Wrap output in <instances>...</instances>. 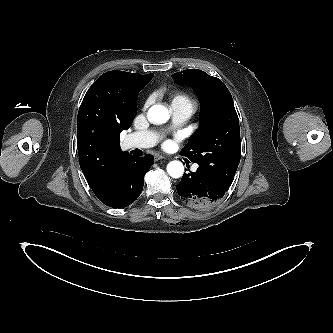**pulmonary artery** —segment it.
I'll use <instances>...</instances> for the list:
<instances>
[{"label":"pulmonary artery","mask_w":333,"mask_h":333,"mask_svg":"<svg viewBox=\"0 0 333 333\" xmlns=\"http://www.w3.org/2000/svg\"><path fill=\"white\" fill-rule=\"evenodd\" d=\"M171 111L174 125L184 123L195 111V106L188 103H172ZM159 140L157 133L153 131L135 132L128 135L126 139L127 146L130 148H149L154 146ZM198 166L194 165L193 170Z\"/></svg>","instance_id":"pulmonary-artery-1"}]
</instances>
